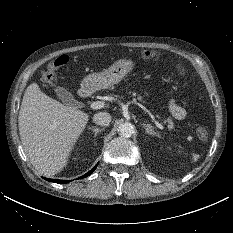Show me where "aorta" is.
<instances>
[{
	"label": "aorta",
	"mask_w": 233,
	"mask_h": 233,
	"mask_svg": "<svg viewBox=\"0 0 233 233\" xmlns=\"http://www.w3.org/2000/svg\"><path fill=\"white\" fill-rule=\"evenodd\" d=\"M118 133L122 137H131L134 133V127L129 122L121 123L118 127Z\"/></svg>",
	"instance_id": "aorta-1"
}]
</instances>
